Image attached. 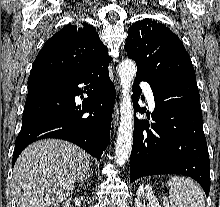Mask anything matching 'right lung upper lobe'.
I'll use <instances>...</instances> for the list:
<instances>
[{
    "instance_id": "right-lung-upper-lobe-1",
    "label": "right lung upper lobe",
    "mask_w": 220,
    "mask_h": 207,
    "mask_svg": "<svg viewBox=\"0 0 220 207\" xmlns=\"http://www.w3.org/2000/svg\"><path fill=\"white\" fill-rule=\"evenodd\" d=\"M102 60L111 61V57L96 28L87 23L78 26L70 24L46 41L31 72L79 73Z\"/></svg>"
}]
</instances>
